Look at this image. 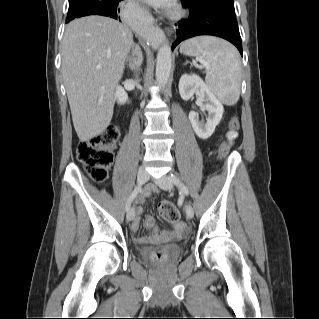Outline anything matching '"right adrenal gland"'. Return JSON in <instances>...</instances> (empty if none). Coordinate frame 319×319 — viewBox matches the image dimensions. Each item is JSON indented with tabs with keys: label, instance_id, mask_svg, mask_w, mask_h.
Instances as JSON below:
<instances>
[{
	"label": "right adrenal gland",
	"instance_id": "obj_1",
	"mask_svg": "<svg viewBox=\"0 0 319 319\" xmlns=\"http://www.w3.org/2000/svg\"><path fill=\"white\" fill-rule=\"evenodd\" d=\"M128 67L133 70L135 67V61L133 57H127Z\"/></svg>",
	"mask_w": 319,
	"mask_h": 319
}]
</instances>
